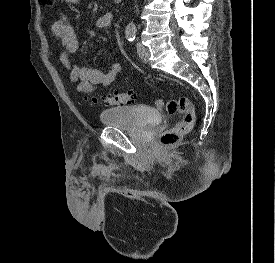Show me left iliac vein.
Masks as SVG:
<instances>
[{"instance_id": "4c4485c4", "label": "left iliac vein", "mask_w": 275, "mask_h": 263, "mask_svg": "<svg viewBox=\"0 0 275 263\" xmlns=\"http://www.w3.org/2000/svg\"><path fill=\"white\" fill-rule=\"evenodd\" d=\"M137 53L139 58L144 62L147 63L149 59V51L148 49L142 44V43H137Z\"/></svg>"}]
</instances>
